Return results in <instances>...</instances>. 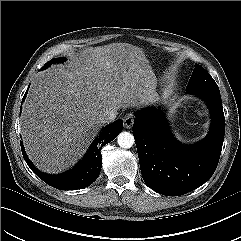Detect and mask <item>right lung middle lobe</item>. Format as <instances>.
Segmentation results:
<instances>
[{"mask_svg":"<svg viewBox=\"0 0 241 241\" xmlns=\"http://www.w3.org/2000/svg\"><path fill=\"white\" fill-rule=\"evenodd\" d=\"M64 60H65V58H54V59L50 60L49 62H47L43 68H46L47 66H49L52 63L63 62Z\"/></svg>","mask_w":241,"mask_h":241,"instance_id":"obj_1","label":"right lung middle lobe"}]
</instances>
